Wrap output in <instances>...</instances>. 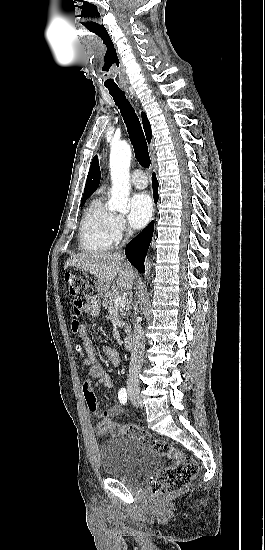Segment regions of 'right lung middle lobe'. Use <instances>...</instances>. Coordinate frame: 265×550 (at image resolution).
I'll use <instances>...</instances> for the list:
<instances>
[{"label":"right lung middle lobe","instance_id":"dd1d6c3e","mask_svg":"<svg viewBox=\"0 0 265 550\" xmlns=\"http://www.w3.org/2000/svg\"><path fill=\"white\" fill-rule=\"evenodd\" d=\"M85 200H86V199H82V201H81V206H83V205H84V203H85Z\"/></svg>","mask_w":265,"mask_h":550}]
</instances>
